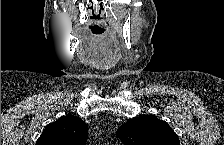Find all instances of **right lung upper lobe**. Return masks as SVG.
Returning <instances> with one entry per match:
<instances>
[{
    "label": "right lung upper lobe",
    "instance_id": "cb5924a9",
    "mask_svg": "<svg viewBox=\"0 0 224 145\" xmlns=\"http://www.w3.org/2000/svg\"><path fill=\"white\" fill-rule=\"evenodd\" d=\"M85 123L76 116H63L45 127L36 145H85Z\"/></svg>",
    "mask_w": 224,
    "mask_h": 145
}]
</instances>
